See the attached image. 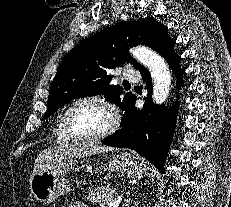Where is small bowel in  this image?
I'll use <instances>...</instances> for the list:
<instances>
[{
    "instance_id": "1",
    "label": "small bowel",
    "mask_w": 231,
    "mask_h": 207,
    "mask_svg": "<svg viewBox=\"0 0 231 207\" xmlns=\"http://www.w3.org/2000/svg\"><path fill=\"white\" fill-rule=\"evenodd\" d=\"M65 207H85V206L80 202H74L69 205H66Z\"/></svg>"
}]
</instances>
